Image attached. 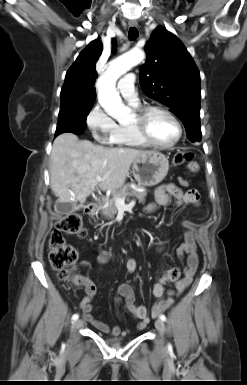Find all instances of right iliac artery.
<instances>
[{"instance_id": "obj_1", "label": "right iliac artery", "mask_w": 247, "mask_h": 385, "mask_svg": "<svg viewBox=\"0 0 247 385\" xmlns=\"http://www.w3.org/2000/svg\"><path fill=\"white\" fill-rule=\"evenodd\" d=\"M78 318H79V315H78V314H74V315L72 316V320H73V321H76Z\"/></svg>"}]
</instances>
